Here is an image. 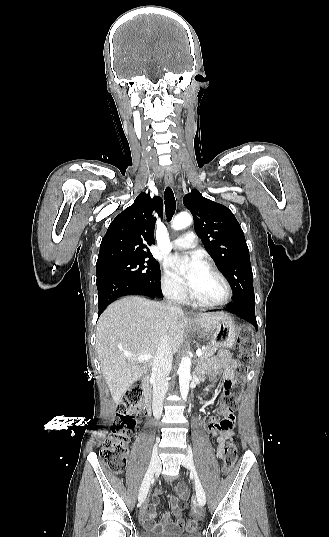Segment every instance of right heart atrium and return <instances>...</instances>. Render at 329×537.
I'll list each match as a JSON object with an SVG mask.
<instances>
[{
  "mask_svg": "<svg viewBox=\"0 0 329 537\" xmlns=\"http://www.w3.org/2000/svg\"><path fill=\"white\" fill-rule=\"evenodd\" d=\"M161 288L172 300L179 301L184 298L185 288L182 282L167 268H164L161 276Z\"/></svg>",
  "mask_w": 329,
  "mask_h": 537,
  "instance_id": "d8ad5b80",
  "label": "right heart atrium"
}]
</instances>
